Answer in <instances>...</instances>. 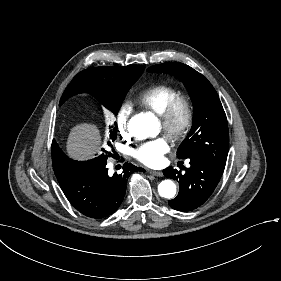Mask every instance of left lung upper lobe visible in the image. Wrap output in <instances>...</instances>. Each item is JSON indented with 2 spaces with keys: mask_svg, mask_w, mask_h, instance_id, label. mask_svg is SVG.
<instances>
[{
  "mask_svg": "<svg viewBox=\"0 0 281 281\" xmlns=\"http://www.w3.org/2000/svg\"><path fill=\"white\" fill-rule=\"evenodd\" d=\"M147 71L174 75L183 82L191 97L193 126L178 148L177 157H202L224 168L229 149L228 123L211 83L193 68L178 62L153 65Z\"/></svg>",
  "mask_w": 281,
  "mask_h": 281,
  "instance_id": "left-lung-upper-lobe-1",
  "label": "left lung upper lobe"
}]
</instances>
